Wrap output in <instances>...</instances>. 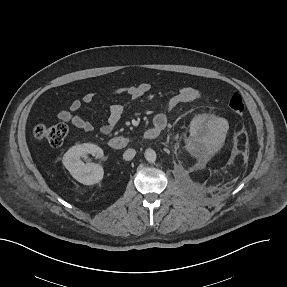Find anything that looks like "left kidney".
Instances as JSON below:
<instances>
[{
  "label": "left kidney",
  "mask_w": 287,
  "mask_h": 287,
  "mask_svg": "<svg viewBox=\"0 0 287 287\" xmlns=\"http://www.w3.org/2000/svg\"><path fill=\"white\" fill-rule=\"evenodd\" d=\"M190 135L191 137H196L198 135V122L196 120L191 122Z\"/></svg>",
  "instance_id": "1"
}]
</instances>
